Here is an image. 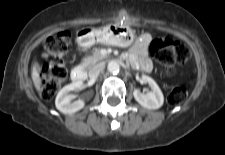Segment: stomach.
I'll return each mask as SVG.
<instances>
[{"label": "stomach", "instance_id": "stomach-1", "mask_svg": "<svg viewBox=\"0 0 225 155\" xmlns=\"http://www.w3.org/2000/svg\"><path fill=\"white\" fill-rule=\"evenodd\" d=\"M134 39L132 29L122 24H109L101 29L83 28L77 32V41L83 47H90L95 43L128 47Z\"/></svg>", "mask_w": 225, "mask_h": 155}]
</instances>
